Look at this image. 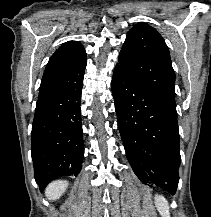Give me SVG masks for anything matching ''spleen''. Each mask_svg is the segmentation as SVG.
<instances>
[{
    "label": "spleen",
    "mask_w": 211,
    "mask_h": 217,
    "mask_svg": "<svg viewBox=\"0 0 211 217\" xmlns=\"http://www.w3.org/2000/svg\"><path fill=\"white\" fill-rule=\"evenodd\" d=\"M154 200H155L154 202L155 206L158 212L160 213V215L162 217H170L169 205L167 200L161 195L155 196Z\"/></svg>",
    "instance_id": "obj_1"
}]
</instances>
